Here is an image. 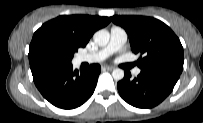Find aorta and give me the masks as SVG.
Returning <instances> with one entry per match:
<instances>
[{
	"mask_svg": "<svg viewBox=\"0 0 203 123\" xmlns=\"http://www.w3.org/2000/svg\"><path fill=\"white\" fill-rule=\"evenodd\" d=\"M93 39L99 46H106L109 43L110 34L107 30L101 29L94 33ZM112 77L116 81L122 80L124 78V71L120 68H116L112 72Z\"/></svg>",
	"mask_w": 203,
	"mask_h": 123,
	"instance_id": "aorta-1",
	"label": "aorta"
}]
</instances>
